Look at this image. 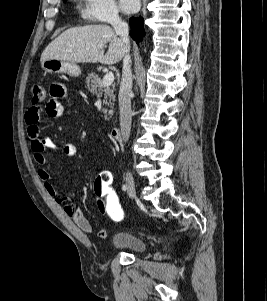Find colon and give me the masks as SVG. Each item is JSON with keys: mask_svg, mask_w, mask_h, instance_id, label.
I'll list each match as a JSON object with an SVG mask.
<instances>
[{"mask_svg": "<svg viewBox=\"0 0 267 301\" xmlns=\"http://www.w3.org/2000/svg\"><path fill=\"white\" fill-rule=\"evenodd\" d=\"M45 97L44 88L35 85L32 91V102L40 103ZM93 195L101 204L104 214L114 222H121L125 217V210L120 197L113 186V178L109 171H101L93 183Z\"/></svg>", "mask_w": 267, "mask_h": 301, "instance_id": "obj_1", "label": "colon"}]
</instances>
